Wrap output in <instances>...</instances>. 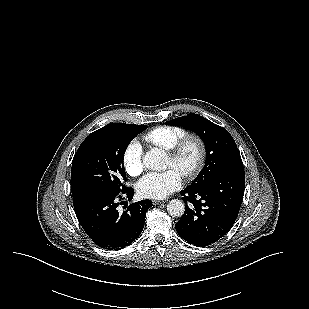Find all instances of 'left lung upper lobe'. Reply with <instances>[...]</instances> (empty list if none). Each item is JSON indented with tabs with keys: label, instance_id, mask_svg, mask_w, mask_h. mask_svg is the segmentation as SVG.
Returning <instances> with one entry per match:
<instances>
[{
	"label": "left lung upper lobe",
	"instance_id": "obj_1",
	"mask_svg": "<svg viewBox=\"0 0 309 309\" xmlns=\"http://www.w3.org/2000/svg\"><path fill=\"white\" fill-rule=\"evenodd\" d=\"M166 124L182 126L194 131L206 147V163L195 180L187 188H194L210 179L236 170H244L240 152L232 136L221 126L197 114L175 118Z\"/></svg>",
	"mask_w": 309,
	"mask_h": 309
}]
</instances>
